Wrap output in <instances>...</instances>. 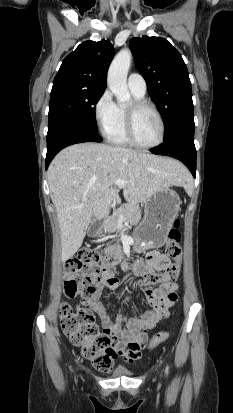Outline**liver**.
Masks as SVG:
<instances>
[{
    "instance_id": "liver-1",
    "label": "liver",
    "mask_w": 233,
    "mask_h": 413,
    "mask_svg": "<svg viewBox=\"0 0 233 413\" xmlns=\"http://www.w3.org/2000/svg\"><path fill=\"white\" fill-rule=\"evenodd\" d=\"M179 162L124 147L80 143L63 149L48 168L51 200L61 233V259L81 247L92 216L102 219L120 203L116 180L132 205L145 203L157 190L181 186L187 178Z\"/></svg>"
}]
</instances>
